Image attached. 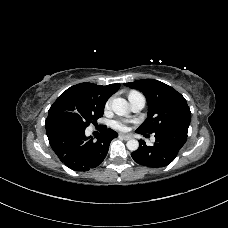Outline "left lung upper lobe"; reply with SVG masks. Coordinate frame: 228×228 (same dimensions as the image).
Returning a JSON list of instances; mask_svg holds the SVG:
<instances>
[{"label":"left lung upper lobe","mask_w":228,"mask_h":228,"mask_svg":"<svg viewBox=\"0 0 228 228\" xmlns=\"http://www.w3.org/2000/svg\"><path fill=\"white\" fill-rule=\"evenodd\" d=\"M124 84L143 92L148 101V118L138 128L139 132L157 133L171 126L189 127L190 108L185 98L169 85L153 79Z\"/></svg>","instance_id":"5c2ea615"}]
</instances>
